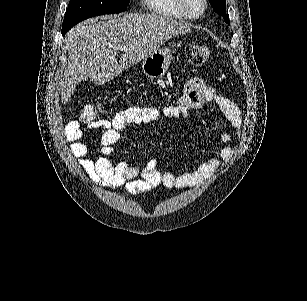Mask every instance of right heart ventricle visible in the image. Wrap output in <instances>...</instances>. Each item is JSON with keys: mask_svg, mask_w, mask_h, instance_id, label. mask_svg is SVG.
<instances>
[{"mask_svg": "<svg viewBox=\"0 0 307 301\" xmlns=\"http://www.w3.org/2000/svg\"><path fill=\"white\" fill-rule=\"evenodd\" d=\"M150 13H156L157 17H183V10L175 9L179 5L176 0H148Z\"/></svg>", "mask_w": 307, "mask_h": 301, "instance_id": "e07e8e85", "label": "right heart ventricle"}]
</instances>
